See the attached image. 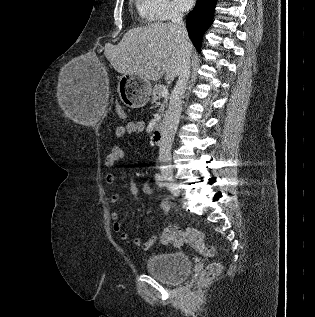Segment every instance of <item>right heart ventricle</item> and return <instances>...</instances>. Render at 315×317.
<instances>
[{"instance_id":"obj_1","label":"right heart ventricle","mask_w":315,"mask_h":317,"mask_svg":"<svg viewBox=\"0 0 315 317\" xmlns=\"http://www.w3.org/2000/svg\"><path fill=\"white\" fill-rule=\"evenodd\" d=\"M136 7H137V11H138V14H139V17L141 18V20L143 22H148L150 21L151 19L147 16V14L144 12L142 6H141V2L138 0L137 3H136Z\"/></svg>"}]
</instances>
